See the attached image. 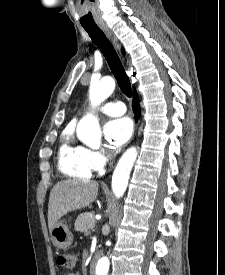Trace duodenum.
<instances>
[{"mask_svg":"<svg viewBox=\"0 0 225 275\" xmlns=\"http://www.w3.org/2000/svg\"><path fill=\"white\" fill-rule=\"evenodd\" d=\"M94 270H95V260H93V261L91 262V265H90V274H91V275H93Z\"/></svg>","mask_w":225,"mask_h":275,"instance_id":"duodenum-1","label":"duodenum"}]
</instances>
